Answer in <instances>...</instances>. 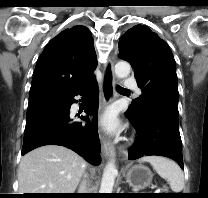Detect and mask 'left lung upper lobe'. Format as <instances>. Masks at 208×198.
Here are the masks:
<instances>
[{"instance_id":"obj_1","label":"left lung upper lobe","mask_w":208,"mask_h":198,"mask_svg":"<svg viewBox=\"0 0 208 198\" xmlns=\"http://www.w3.org/2000/svg\"><path fill=\"white\" fill-rule=\"evenodd\" d=\"M118 46L119 57L134 68L142 89V95L133 100L126 113L136 118L157 106L178 118L176 66L167 43L147 26L137 25L121 36Z\"/></svg>"}]
</instances>
